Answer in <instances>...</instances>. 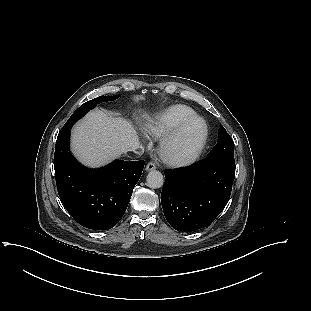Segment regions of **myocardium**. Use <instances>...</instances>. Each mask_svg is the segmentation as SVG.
<instances>
[{"mask_svg":"<svg viewBox=\"0 0 311 311\" xmlns=\"http://www.w3.org/2000/svg\"><path fill=\"white\" fill-rule=\"evenodd\" d=\"M195 121H199L202 126L200 137L195 147L189 153L184 155H175L171 153L170 148L172 144L182 134V132ZM208 134V124L206 120L202 116L194 114L184 119L179 125L162 137L158 148V154L161 160L169 166H188L194 163L203 152L208 140Z\"/></svg>","mask_w":311,"mask_h":311,"instance_id":"myocardium-1","label":"myocardium"}]
</instances>
